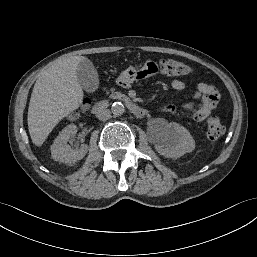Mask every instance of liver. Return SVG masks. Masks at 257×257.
Here are the masks:
<instances>
[{"label": "liver", "instance_id": "obj_1", "mask_svg": "<svg viewBox=\"0 0 257 257\" xmlns=\"http://www.w3.org/2000/svg\"><path fill=\"white\" fill-rule=\"evenodd\" d=\"M84 59L87 58L58 59L40 72L27 118L30 137L36 146H41L58 122L81 105L84 94L76 71Z\"/></svg>", "mask_w": 257, "mask_h": 257}]
</instances>
